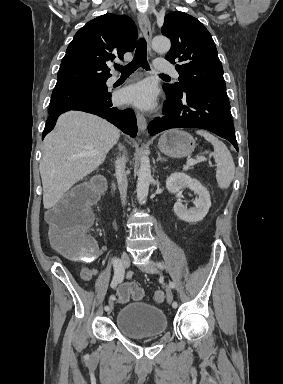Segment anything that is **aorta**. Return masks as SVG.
Masks as SVG:
<instances>
[{
    "instance_id": "obj_1",
    "label": "aorta",
    "mask_w": 283,
    "mask_h": 384,
    "mask_svg": "<svg viewBox=\"0 0 283 384\" xmlns=\"http://www.w3.org/2000/svg\"><path fill=\"white\" fill-rule=\"evenodd\" d=\"M171 46L170 40L164 36H157L152 40V47L156 52L166 53ZM152 180L150 160L146 155H143L140 160V168L138 171L137 181V199L144 202L147 198L149 185Z\"/></svg>"
}]
</instances>
